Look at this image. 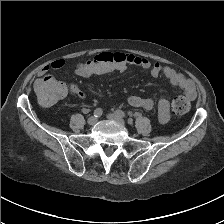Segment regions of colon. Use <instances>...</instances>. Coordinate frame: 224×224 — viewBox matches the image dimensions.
<instances>
[{"label": "colon", "instance_id": "5ec220e1", "mask_svg": "<svg viewBox=\"0 0 224 224\" xmlns=\"http://www.w3.org/2000/svg\"><path fill=\"white\" fill-rule=\"evenodd\" d=\"M119 60L111 53L96 56L93 60L82 64L80 68L86 69L92 76L105 75L113 72H122ZM35 92L44 106H51L61 100L70 89L68 85L57 82L52 77H45L35 85ZM191 109V102L185 96H177L172 101V111L176 115H184Z\"/></svg>", "mask_w": 224, "mask_h": 224}]
</instances>
